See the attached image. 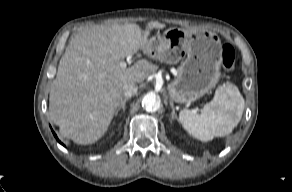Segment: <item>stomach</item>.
<instances>
[{
  "label": "stomach",
  "instance_id": "0dacf381",
  "mask_svg": "<svg viewBox=\"0 0 292 192\" xmlns=\"http://www.w3.org/2000/svg\"><path fill=\"white\" fill-rule=\"evenodd\" d=\"M148 55L167 64L181 62L168 85L170 97L188 104L208 93L218 82L222 45L212 32L169 28L149 39Z\"/></svg>",
  "mask_w": 292,
  "mask_h": 192
}]
</instances>
